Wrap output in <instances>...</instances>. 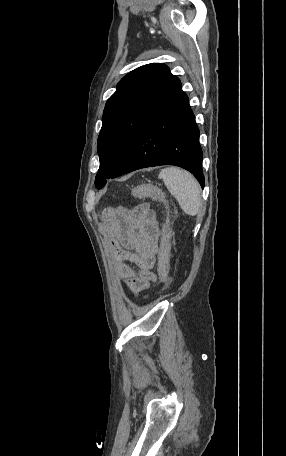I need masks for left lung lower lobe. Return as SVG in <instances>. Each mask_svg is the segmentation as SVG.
Here are the masks:
<instances>
[{
    "label": "left lung lower lobe",
    "mask_w": 286,
    "mask_h": 456,
    "mask_svg": "<svg viewBox=\"0 0 286 456\" xmlns=\"http://www.w3.org/2000/svg\"><path fill=\"white\" fill-rule=\"evenodd\" d=\"M199 129L182 90L137 136L112 178L152 166L175 165L190 171L204 187Z\"/></svg>",
    "instance_id": "1"
}]
</instances>
